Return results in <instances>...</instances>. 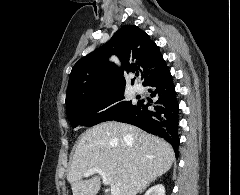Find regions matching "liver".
<instances>
[{"mask_svg":"<svg viewBox=\"0 0 240 195\" xmlns=\"http://www.w3.org/2000/svg\"><path fill=\"white\" fill-rule=\"evenodd\" d=\"M175 159L172 145L143 129L104 121L82 133L75 147L67 179L73 195H96L100 177L109 185H119L120 195H136L142 187L166 173ZM91 167H101L103 175L83 179Z\"/></svg>","mask_w":240,"mask_h":195,"instance_id":"6515ba94","label":"liver"}]
</instances>
